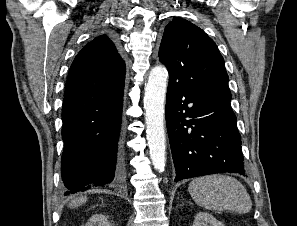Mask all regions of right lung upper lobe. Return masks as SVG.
<instances>
[{
	"label": "right lung upper lobe",
	"mask_w": 297,
	"mask_h": 226,
	"mask_svg": "<svg viewBox=\"0 0 297 226\" xmlns=\"http://www.w3.org/2000/svg\"><path fill=\"white\" fill-rule=\"evenodd\" d=\"M125 64L106 35L96 37L75 57L64 97L124 85Z\"/></svg>",
	"instance_id": "right-lung-upper-lobe-1"
}]
</instances>
